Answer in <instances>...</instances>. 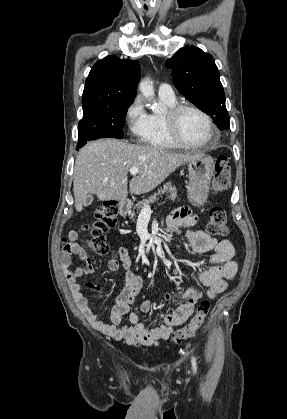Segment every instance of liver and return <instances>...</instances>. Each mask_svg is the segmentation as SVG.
I'll list each match as a JSON object with an SVG mask.
<instances>
[{"label": "liver", "mask_w": 287, "mask_h": 419, "mask_svg": "<svg viewBox=\"0 0 287 419\" xmlns=\"http://www.w3.org/2000/svg\"><path fill=\"white\" fill-rule=\"evenodd\" d=\"M200 152L177 153L167 149L135 145L116 139L89 142L77 154L73 192L75 208L82 211L86 198L95 194L99 200H123L128 195V172L139 169L129 182L131 194H144L160 185L172 172L194 160Z\"/></svg>", "instance_id": "liver-1"}]
</instances>
